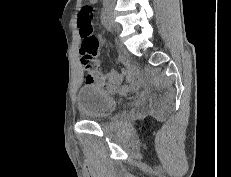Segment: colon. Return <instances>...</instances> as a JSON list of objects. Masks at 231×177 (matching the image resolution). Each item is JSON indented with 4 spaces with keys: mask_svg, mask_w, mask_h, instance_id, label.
<instances>
[{
    "mask_svg": "<svg viewBox=\"0 0 231 177\" xmlns=\"http://www.w3.org/2000/svg\"><path fill=\"white\" fill-rule=\"evenodd\" d=\"M92 13V8L85 5L82 7L78 17L79 30L83 39L80 55L82 64L86 67H90L92 65L99 48V40L94 35L93 31L91 21Z\"/></svg>",
    "mask_w": 231,
    "mask_h": 177,
    "instance_id": "5ec220e1",
    "label": "colon"
}]
</instances>
